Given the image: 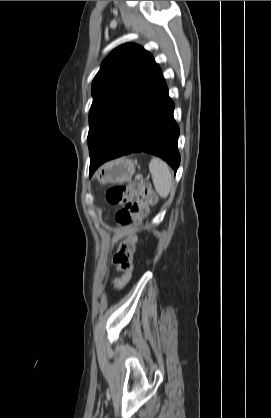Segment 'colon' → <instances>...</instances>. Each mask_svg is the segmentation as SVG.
Listing matches in <instances>:
<instances>
[{
  "mask_svg": "<svg viewBox=\"0 0 271 418\" xmlns=\"http://www.w3.org/2000/svg\"><path fill=\"white\" fill-rule=\"evenodd\" d=\"M106 199L110 204L120 208L116 213V222L121 227H132L139 224L155 202L156 196L151 186L143 181H136L129 185H114L108 188ZM134 237L121 242L113 261L122 273L118 284L124 285L133 272V255L135 251Z\"/></svg>",
  "mask_w": 271,
  "mask_h": 418,
  "instance_id": "colon-1",
  "label": "colon"
}]
</instances>
